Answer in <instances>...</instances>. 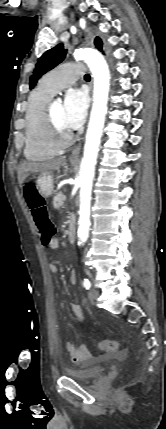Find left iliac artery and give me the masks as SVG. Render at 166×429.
Returning <instances> with one entry per match:
<instances>
[{
    "mask_svg": "<svg viewBox=\"0 0 166 429\" xmlns=\"http://www.w3.org/2000/svg\"><path fill=\"white\" fill-rule=\"evenodd\" d=\"M83 285L87 290L90 289V287H91V283L88 279H84Z\"/></svg>",
    "mask_w": 166,
    "mask_h": 429,
    "instance_id": "44dca946",
    "label": "left iliac artery"
}]
</instances>
